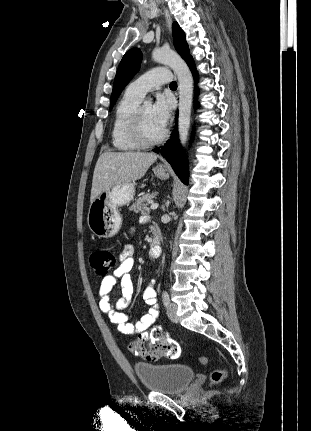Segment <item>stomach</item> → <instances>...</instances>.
<instances>
[{
    "label": "stomach",
    "instance_id": "obj_1",
    "mask_svg": "<svg viewBox=\"0 0 311 431\" xmlns=\"http://www.w3.org/2000/svg\"><path fill=\"white\" fill-rule=\"evenodd\" d=\"M153 174L159 180H168L170 174L164 166L153 168ZM136 194V186L129 184H116L113 188H106L94 202L90 204L87 223L90 231L98 237H113L121 229L123 223L119 208L129 206Z\"/></svg>",
    "mask_w": 311,
    "mask_h": 431
}]
</instances>
